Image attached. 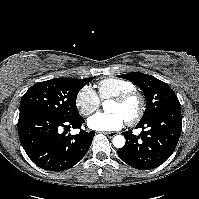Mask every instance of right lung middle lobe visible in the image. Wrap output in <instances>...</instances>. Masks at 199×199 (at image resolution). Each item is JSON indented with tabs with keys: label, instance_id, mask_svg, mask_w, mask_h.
Returning a JSON list of instances; mask_svg holds the SVG:
<instances>
[{
	"label": "right lung middle lobe",
	"instance_id": "1",
	"mask_svg": "<svg viewBox=\"0 0 199 199\" xmlns=\"http://www.w3.org/2000/svg\"><path fill=\"white\" fill-rule=\"evenodd\" d=\"M94 78H55L36 83L22 96L20 113L37 111L61 119L76 118L79 116L77 94Z\"/></svg>",
	"mask_w": 199,
	"mask_h": 199
}]
</instances>
